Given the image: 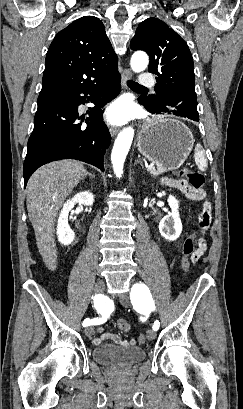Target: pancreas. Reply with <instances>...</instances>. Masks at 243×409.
<instances>
[{"mask_svg":"<svg viewBox=\"0 0 243 409\" xmlns=\"http://www.w3.org/2000/svg\"><path fill=\"white\" fill-rule=\"evenodd\" d=\"M149 172L151 173L152 176L156 177L158 175L165 173L166 170L162 167H158L157 169L154 168L152 170H149Z\"/></svg>","mask_w":243,"mask_h":409,"instance_id":"cf45deb5","label":"pancreas"}]
</instances>
